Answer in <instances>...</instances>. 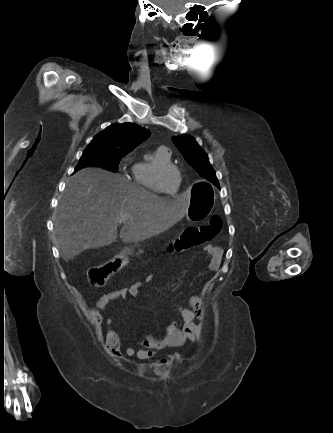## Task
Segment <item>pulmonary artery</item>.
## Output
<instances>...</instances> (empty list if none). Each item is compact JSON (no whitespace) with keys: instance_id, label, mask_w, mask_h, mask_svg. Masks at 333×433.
I'll return each mask as SVG.
<instances>
[{"instance_id":"pulmonary-artery-1","label":"pulmonary artery","mask_w":333,"mask_h":433,"mask_svg":"<svg viewBox=\"0 0 333 433\" xmlns=\"http://www.w3.org/2000/svg\"><path fill=\"white\" fill-rule=\"evenodd\" d=\"M159 148H161V149H163V150H165V151H167V152H168V148H167V147H165V146H160Z\"/></svg>"}]
</instances>
